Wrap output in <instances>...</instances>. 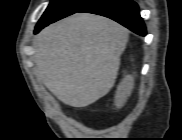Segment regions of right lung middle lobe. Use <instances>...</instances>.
I'll return each mask as SVG.
<instances>
[{"label": "right lung middle lobe", "instance_id": "1", "mask_svg": "<svg viewBox=\"0 0 182 140\" xmlns=\"http://www.w3.org/2000/svg\"><path fill=\"white\" fill-rule=\"evenodd\" d=\"M93 0H51L35 29L44 28L50 23L69 16Z\"/></svg>", "mask_w": 182, "mask_h": 140}]
</instances>
